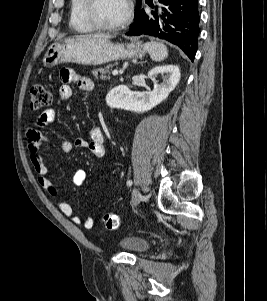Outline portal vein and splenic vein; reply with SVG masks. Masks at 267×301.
Instances as JSON below:
<instances>
[{"instance_id":"18ae733b","label":"portal vein and splenic vein","mask_w":267,"mask_h":301,"mask_svg":"<svg viewBox=\"0 0 267 301\" xmlns=\"http://www.w3.org/2000/svg\"><path fill=\"white\" fill-rule=\"evenodd\" d=\"M118 74H119V70H118V69H114V70L112 71V75L116 76V75H118Z\"/></svg>"}]
</instances>
